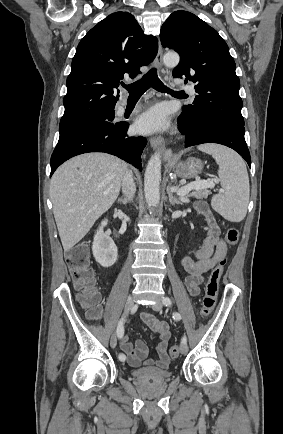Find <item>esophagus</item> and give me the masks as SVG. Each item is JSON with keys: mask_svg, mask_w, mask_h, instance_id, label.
Instances as JSON below:
<instances>
[{"mask_svg": "<svg viewBox=\"0 0 283 434\" xmlns=\"http://www.w3.org/2000/svg\"><path fill=\"white\" fill-rule=\"evenodd\" d=\"M162 56H163V50L161 44L159 43L158 53L155 59V63L158 67H162ZM150 144L154 149L160 148L163 150L164 159H170L173 156L171 150L165 149L164 147L165 142L162 136L151 137Z\"/></svg>", "mask_w": 283, "mask_h": 434, "instance_id": "1", "label": "esophagus"}]
</instances>
